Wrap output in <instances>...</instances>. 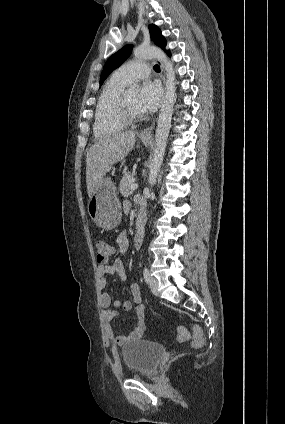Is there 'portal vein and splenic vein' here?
Wrapping results in <instances>:
<instances>
[{
    "label": "portal vein and splenic vein",
    "instance_id": "1",
    "mask_svg": "<svg viewBox=\"0 0 285 424\" xmlns=\"http://www.w3.org/2000/svg\"><path fill=\"white\" fill-rule=\"evenodd\" d=\"M130 188L131 190H136L138 188V184L133 183Z\"/></svg>",
    "mask_w": 285,
    "mask_h": 424
}]
</instances>
